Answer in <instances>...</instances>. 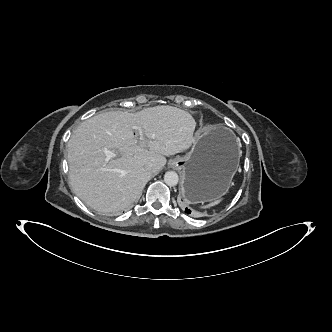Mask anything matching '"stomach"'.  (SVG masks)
Instances as JSON below:
<instances>
[{
    "mask_svg": "<svg viewBox=\"0 0 332 332\" xmlns=\"http://www.w3.org/2000/svg\"><path fill=\"white\" fill-rule=\"evenodd\" d=\"M241 154L239 141L231 130L217 128L202 134L185 156L169 161L182 172L180 190L184 200L197 204L224 196Z\"/></svg>",
    "mask_w": 332,
    "mask_h": 332,
    "instance_id": "obj_1",
    "label": "stomach"
}]
</instances>
